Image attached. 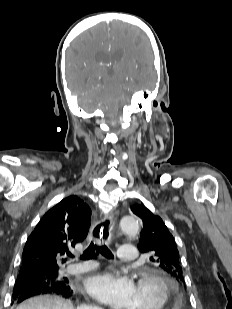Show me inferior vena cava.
<instances>
[{"instance_id":"1","label":"inferior vena cava","mask_w":232,"mask_h":309,"mask_svg":"<svg viewBox=\"0 0 232 309\" xmlns=\"http://www.w3.org/2000/svg\"><path fill=\"white\" fill-rule=\"evenodd\" d=\"M79 309H101V308H98V307H81Z\"/></svg>"}]
</instances>
